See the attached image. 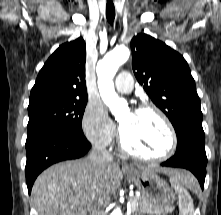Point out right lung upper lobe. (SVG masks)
I'll return each mask as SVG.
<instances>
[{"label":"right lung upper lobe","instance_id":"obj_1","mask_svg":"<svg viewBox=\"0 0 221 215\" xmlns=\"http://www.w3.org/2000/svg\"><path fill=\"white\" fill-rule=\"evenodd\" d=\"M85 61L83 38L59 46L40 70L29 105L52 100L87 99Z\"/></svg>","mask_w":221,"mask_h":215}]
</instances>
